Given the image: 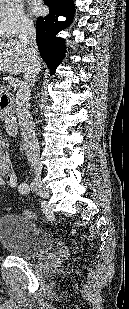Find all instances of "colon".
I'll return each mask as SVG.
<instances>
[{
  "instance_id": "obj_1",
  "label": "colon",
  "mask_w": 129,
  "mask_h": 309,
  "mask_svg": "<svg viewBox=\"0 0 129 309\" xmlns=\"http://www.w3.org/2000/svg\"><path fill=\"white\" fill-rule=\"evenodd\" d=\"M22 214L29 219H35L36 218V215L32 211H29V210H22Z\"/></svg>"
}]
</instances>
